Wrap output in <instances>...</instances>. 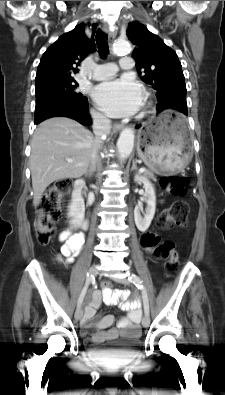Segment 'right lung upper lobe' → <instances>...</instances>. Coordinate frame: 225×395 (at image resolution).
Masks as SVG:
<instances>
[{
	"label": "right lung upper lobe",
	"instance_id": "obj_1",
	"mask_svg": "<svg viewBox=\"0 0 225 395\" xmlns=\"http://www.w3.org/2000/svg\"><path fill=\"white\" fill-rule=\"evenodd\" d=\"M96 24L92 25L93 33ZM85 24L77 25L63 34L43 54L35 78L36 85L47 82L73 79L79 72L80 62L96 50L94 40L85 35Z\"/></svg>",
	"mask_w": 225,
	"mask_h": 395
}]
</instances>
